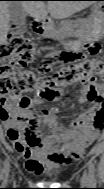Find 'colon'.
Listing matches in <instances>:
<instances>
[{
  "mask_svg": "<svg viewBox=\"0 0 104 189\" xmlns=\"http://www.w3.org/2000/svg\"><path fill=\"white\" fill-rule=\"evenodd\" d=\"M85 54L64 53V64L53 69L44 63L38 72L25 69L33 61L35 46L18 33H11L0 47L3 64L0 70V92L4 99H12L21 105L31 102L29 95L52 100L58 96L57 88L86 78L99 83L104 79V62L97 57L100 46L85 45Z\"/></svg>",
  "mask_w": 104,
  "mask_h": 189,
  "instance_id": "obj_1",
  "label": "colon"
}]
</instances>
